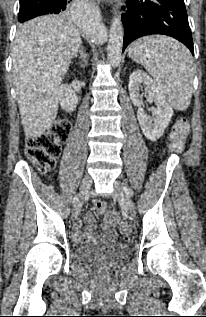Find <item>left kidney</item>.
<instances>
[{"label": "left kidney", "instance_id": "left-kidney-1", "mask_svg": "<svg viewBox=\"0 0 206 317\" xmlns=\"http://www.w3.org/2000/svg\"><path fill=\"white\" fill-rule=\"evenodd\" d=\"M144 86L148 98L154 100L157 108L153 109L154 119H150L142 108L143 100L140 88ZM129 93L132 103L138 106L137 118L144 135L151 141L158 140L170 123L173 109L159 92L153 80L143 71L135 70L129 77Z\"/></svg>", "mask_w": 206, "mask_h": 317}]
</instances>
